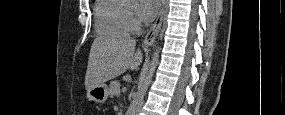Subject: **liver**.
<instances>
[{
	"mask_svg": "<svg viewBox=\"0 0 285 115\" xmlns=\"http://www.w3.org/2000/svg\"><path fill=\"white\" fill-rule=\"evenodd\" d=\"M136 41L125 36L98 37L94 40L85 75V88L90 90L118 77L127 69L135 70L143 60Z\"/></svg>",
	"mask_w": 285,
	"mask_h": 115,
	"instance_id": "6515ba94",
	"label": "liver"
}]
</instances>
